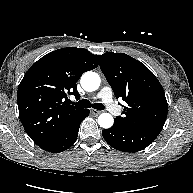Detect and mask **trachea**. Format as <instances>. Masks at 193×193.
<instances>
[{
    "mask_svg": "<svg viewBox=\"0 0 193 193\" xmlns=\"http://www.w3.org/2000/svg\"><path fill=\"white\" fill-rule=\"evenodd\" d=\"M70 104H75V105H77L79 107H83V108L93 107L94 109H97V110H103L105 108L102 103L91 104L90 101H88L87 99L80 100L77 103L70 101Z\"/></svg>",
    "mask_w": 193,
    "mask_h": 193,
    "instance_id": "1",
    "label": "trachea"
}]
</instances>
